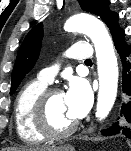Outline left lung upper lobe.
I'll use <instances>...</instances> for the list:
<instances>
[{"label": "left lung upper lobe", "instance_id": "5c2ea615", "mask_svg": "<svg viewBox=\"0 0 131 151\" xmlns=\"http://www.w3.org/2000/svg\"><path fill=\"white\" fill-rule=\"evenodd\" d=\"M82 10L95 13L105 21L110 29L112 37L124 32L118 25V14L109 11L108 0H78ZM43 37V24L39 23L33 27L24 39L17 54L16 62L12 72V84L10 94H13L25 75L33 68L38 59L41 41Z\"/></svg>", "mask_w": 131, "mask_h": 151}]
</instances>
